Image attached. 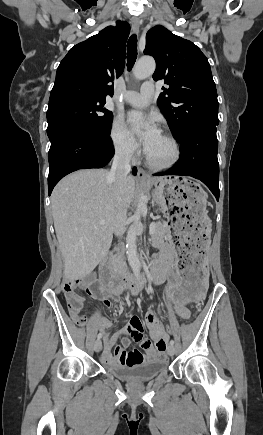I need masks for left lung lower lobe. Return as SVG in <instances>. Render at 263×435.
<instances>
[{
  "label": "left lung lower lobe",
  "instance_id": "left-lung-lower-lobe-1",
  "mask_svg": "<svg viewBox=\"0 0 263 435\" xmlns=\"http://www.w3.org/2000/svg\"><path fill=\"white\" fill-rule=\"evenodd\" d=\"M215 128L197 129L186 133L180 140L181 158L173 169L156 173L185 175L201 180L219 200L218 141Z\"/></svg>",
  "mask_w": 263,
  "mask_h": 435
}]
</instances>
